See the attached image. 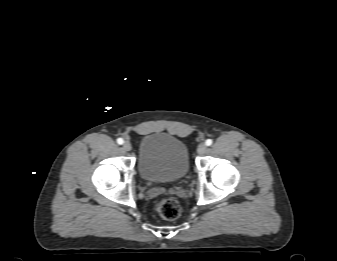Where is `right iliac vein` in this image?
Wrapping results in <instances>:
<instances>
[{
  "label": "right iliac vein",
  "mask_w": 337,
  "mask_h": 261,
  "mask_svg": "<svg viewBox=\"0 0 337 261\" xmlns=\"http://www.w3.org/2000/svg\"><path fill=\"white\" fill-rule=\"evenodd\" d=\"M123 149H124L125 151H130V150L132 149L131 143L128 142V141L124 142V143H123Z\"/></svg>",
  "instance_id": "1"
}]
</instances>
